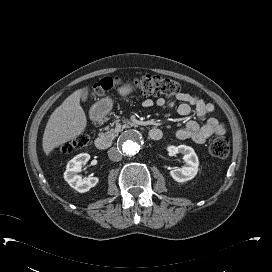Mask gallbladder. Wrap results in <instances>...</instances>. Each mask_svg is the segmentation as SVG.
Returning a JSON list of instances; mask_svg holds the SVG:
<instances>
[{"label":"gallbladder","mask_w":272,"mask_h":272,"mask_svg":"<svg viewBox=\"0 0 272 272\" xmlns=\"http://www.w3.org/2000/svg\"><path fill=\"white\" fill-rule=\"evenodd\" d=\"M88 93H89V88L88 87H85L83 90H82V95H81V100L83 102H86L87 99H88Z\"/></svg>","instance_id":"gallbladder-1"}]
</instances>
